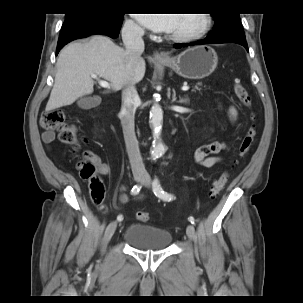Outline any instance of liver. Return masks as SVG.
Masks as SVG:
<instances>
[{
  "label": "liver",
  "instance_id": "1",
  "mask_svg": "<svg viewBox=\"0 0 303 303\" xmlns=\"http://www.w3.org/2000/svg\"><path fill=\"white\" fill-rule=\"evenodd\" d=\"M55 82L46 105V111L73 104L78 98L93 92L91 75L111 82L118 91L127 83H138L144 75L146 64L140 59L128 66L125 50L111 39L94 35L87 41L73 42L59 53Z\"/></svg>",
  "mask_w": 303,
  "mask_h": 303
}]
</instances>
